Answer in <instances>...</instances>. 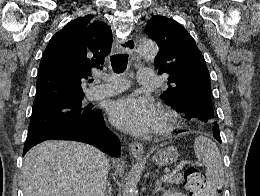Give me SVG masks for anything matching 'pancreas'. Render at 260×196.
Segmentation results:
<instances>
[{
  "label": "pancreas",
  "mask_w": 260,
  "mask_h": 196,
  "mask_svg": "<svg viewBox=\"0 0 260 196\" xmlns=\"http://www.w3.org/2000/svg\"><path fill=\"white\" fill-rule=\"evenodd\" d=\"M182 182H183L182 174H175L173 178L167 180V184H182Z\"/></svg>",
  "instance_id": "cf45deb5"
}]
</instances>
